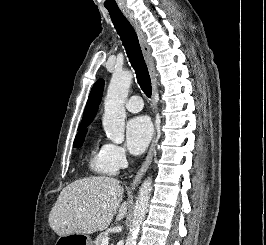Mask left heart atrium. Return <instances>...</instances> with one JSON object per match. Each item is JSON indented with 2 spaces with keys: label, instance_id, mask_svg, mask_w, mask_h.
Here are the masks:
<instances>
[{
  "label": "left heart atrium",
  "instance_id": "obj_1",
  "mask_svg": "<svg viewBox=\"0 0 266 245\" xmlns=\"http://www.w3.org/2000/svg\"><path fill=\"white\" fill-rule=\"evenodd\" d=\"M153 129L147 117L139 116L131 119L126 125V145L128 149L139 154L148 145L152 137Z\"/></svg>",
  "mask_w": 266,
  "mask_h": 245
}]
</instances>
